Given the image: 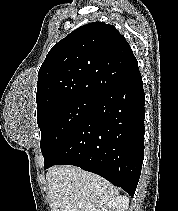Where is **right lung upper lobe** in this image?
Returning a JSON list of instances; mask_svg holds the SVG:
<instances>
[{"mask_svg":"<svg viewBox=\"0 0 178 211\" xmlns=\"http://www.w3.org/2000/svg\"><path fill=\"white\" fill-rule=\"evenodd\" d=\"M138 73L128 42L114 26L86 24L46 56L38 72L37 111L68 99H97Z\"/></svg>","mask_w":178,"mask_h":211,"instance_id":"obj_1","label":"right lung upper lobe"}]
</instances>
